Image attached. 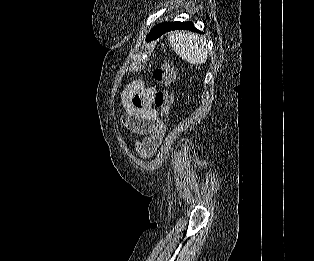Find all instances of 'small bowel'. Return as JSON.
<instances>
[{
    "label": "small bowel",
    "mask_w": 314,
    "mask_h": 261,
    "mask_svg": "<svg viewBox=\"0 0 314 261\" xmlns=\"http://www.w3.org/2000/svg\"><path fill=\"white\" fill-rule=\"evenodd\" d=\"M156 88L139 79L122 93L125 109L123 123L135 135L144 136L136 141V149L143 158H149L161 143L166 126L154 108Z\"/></svg>",
    "instance_id": "obj_1"
}]
</instances>
